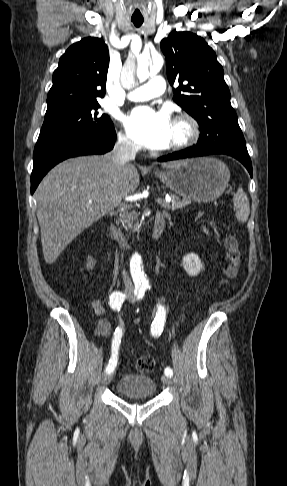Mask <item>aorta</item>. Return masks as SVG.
Returning a JSON list of instances; mask_svg holds the SVG:
<instances>
[{
  "label": "aorta",
  "instance_id": "aorta-1",
  "mask_svg": "<svg viewBox=\"0 0 287 486\" xmlns=\"http://www.w3.org/2000/svg\"><path fill=\"white\" fill-rule=\"evenodd\" d=\"M162 66H163V59L160 56L155 57L153 59V63L150 65V70L147 61L141 62L138 64L136 70L137 78L139 79L140 82H143L148 78L149 75L157 74L161 70ZM141 264H142L141 256L138 253H135L132 256L130 262L131 274L134 280L142 283L143 285H148L149 281L144 275V272L141 268Z\"/></svg>",
  "mask_w": 287,
  "mask_h": 486
}]
</instances>
